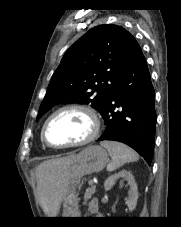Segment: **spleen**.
<instances>
[{
	"mask_svg": "<svg viewBox=\"0 0 181 227\" xmlns=\"http://www.w3.org/2000/svg\"><path fill=\"white\" fill-rule=\"evenodd\" d=\"M101 146L106 148L111 157V162L107 165V171L112 172L128 162L139 159L138 154L127 145L116 141H103Z\"/></svg>",
	"mask_w": 181,
	"mask_h": 227,
	"instance_id": "spleen-1",
	"label": "spleen"
}]
</instances>
